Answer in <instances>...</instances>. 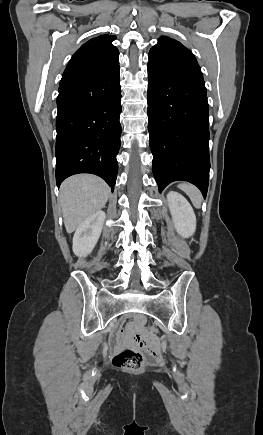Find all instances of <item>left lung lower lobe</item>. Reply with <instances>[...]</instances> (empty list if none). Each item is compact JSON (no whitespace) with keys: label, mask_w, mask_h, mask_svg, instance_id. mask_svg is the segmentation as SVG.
<instances>
[{"label":"left lung lower lobe","mask_w":263,"mask_h":435,"mask_svg":"<svg viewBox=\"0 0 263 435\" xmlns=\"http://www.w3.org/2000/svg\"><path fill=\"white\" fill-rule=\"evenodd\" d=\"M148 130L152 171L161 192L177 180L207 194L209 108L205 84L171 75L148 62Z\"/></svg>","instance_id":"left-lung-lower-lobe-1"}]
</instances>
